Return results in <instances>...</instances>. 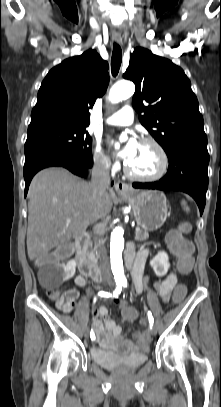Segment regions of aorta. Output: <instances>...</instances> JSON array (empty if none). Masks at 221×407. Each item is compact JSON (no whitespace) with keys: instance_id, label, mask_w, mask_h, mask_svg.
Returning a JSON list of instances; mask_svg holds the SVG:
<instances>
[{"instance_id":"aorta-1","label":"aorta","mask_w":221,"mask_h":407,"mask_svg":"<svg viewBox=\"0 0 221 407\" xmlns=\"http://www.w3.org/2000/svg\"><path fill=\"white\" fill-rule=\"evenodd\" d=\"M135 92V86L129 81L116 83L109 92V100L111 103H118L125 98L132 96ZM124 230L118 226L111 233L110 242V259L111 269L116 281L125 280L122 252L124 249Z\"/></svg>"}]
</instances>
